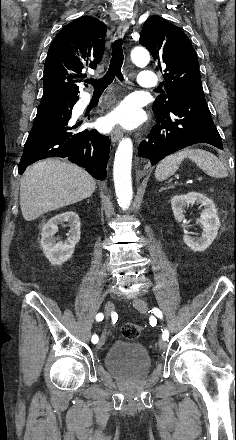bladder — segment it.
Instances as JSON below:
<instances>
[{
    "mask_svg": "<svg viewBox=\"0 0 236 440\" xmlns=\"http://www.w3.org/2000/svg\"><path fill=\"white\" fill-rule=\"evenodd\" d=\"M104 362L110 373L121 375L132 369L148 370L151 359L143 344L118 339L109 347Z\"/></svg>",
    "mask_w": 236,
    "mask_h": 440,
    "instance_id": "1",
    "label": "bladder"
}]
</instances>
